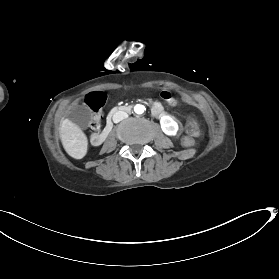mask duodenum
Masks as SVG:
<instances>
[{
	"label": "duodenum",
	"mask_w": 279,
	"mask_h": 279,
	"mask_svg": "<svg viewBox=\"0 0 279 279\" xmlns=\"http://www.w3.org/2000/svg\"><path fill=\"white\" fill-rule=\"evenodd\" d=\"M119 110L129 113L131 111V108L125 104H121L120 106L115 105L106 117V126L103 128L101 137L99 138V134L97 132H94L92 134L91 140L94 145L100 146L105 142V139L108 137V134L111 131V128L113 127V120L115 118V115L119 112Z\"/></svg>",
	"instance_id": "1"
}]
</instances>
